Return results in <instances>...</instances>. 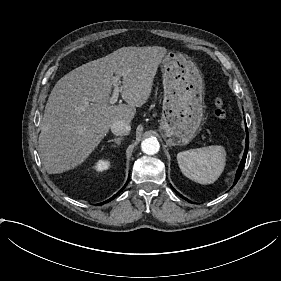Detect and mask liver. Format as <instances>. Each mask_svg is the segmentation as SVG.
Listing matches in <instances>:
<instances>
[{
    "instance_id": "6515ba94",
    "label": "liver",
    "mask_w": 281,
    "mask_h": 281,
    "mask_svg": "<svg viewBox=\"0 0 281 281\" xmlns=\"http://www.w3.org/2000/svg\"><path fill=\"white\" fill-rule=\"evenodd\" d=\"M166 53L167 49L159 46L122 47L57 81L48 97L39 135L49 174L82 164L115 122L132 121L136 107L150 97L158 65ZM113 74L123 77L120 92L127 104H109Z\"/></svg>"
}]
</instances>
